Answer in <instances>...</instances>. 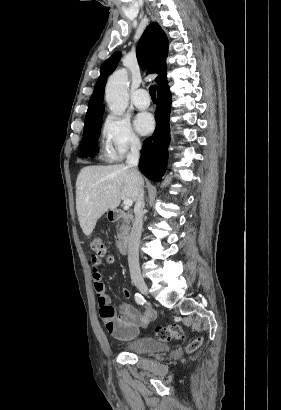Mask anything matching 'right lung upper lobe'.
I'll list each match as a JSON object with an SVG mask.
<instances>
[{"label": "right lung upper lobe", "instance_id": "1", "mask_svg": "<svg viewBox=\"0 0 281 410\" xmlns=\"http://www.w3.org/2000/svg\"><path fill=\"white\" fill-rule=\"evenodd\" d=\"M136 54L138 63L143 69L158 74L156 78L158 89L167 86L165 60L168 54V40L158 23L153 22L147 26L137 46ZM119 58L120 54L115 53L102 64L100 76L89 100L85 122L103 116L104 86L107 77L116 68Z\"/></svg>", "mask_w": 281, "mask_h": 410}]
</instances>
